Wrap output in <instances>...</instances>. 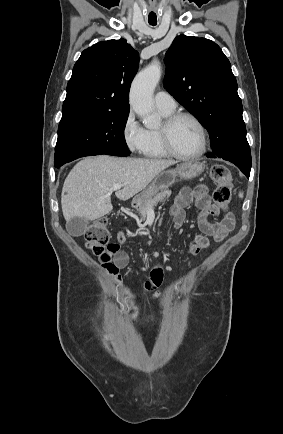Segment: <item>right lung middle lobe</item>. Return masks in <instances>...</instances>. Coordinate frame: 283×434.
<instances>
[{
	"mask_svg": "<svg viewBox=\"0 0 283 434\" xmlns=\"http://www.w3.org/2000/svg\"><path fill=\"white\" fill-rule=\"evenodd\" d=\"M128 115L129 111H120L62 117L55 147V167L84 156H128L130 152L124 137Z\"/></svg>",
	"mask_w": 283,
	"mask_h": 434,
	"instance_id": "obj_1",
	"label": "right lung middle lobe"
}]
</instances>
